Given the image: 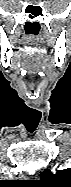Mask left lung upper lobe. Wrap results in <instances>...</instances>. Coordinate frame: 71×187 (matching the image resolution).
<instances>
[{"label": "left lung upper lobe", "mask_w": 71, "mask_h": 187, "mask_svg": "<svg viewBox=\"0 0 71 187\" xmlns=\"http://www.w3.org/2000/svg\"><path fill=\"white\" fill-rule=\"evenodd\" d=\"M43 187H71V169L58 170L56 173L45 170L41 173Z\"/></svg>", "instance_id": "left-lung-upper-lobe-1"}]
</instances>
